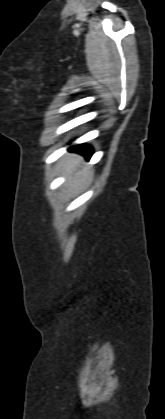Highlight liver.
<instances>
[{"mask_svg": "<svg viewBox=\"0 0 165 419\" xmlns=\"http://www.w3.org/2000/svg\"><path fill=\"white\" fill-rule=\"evenodd\" d=\"M65 173H73L68 180L70 187L79 186L84 179L90 174L88 169L76 170V167L80 164V157L74 154H67L63 160Z\"/></svg>", "mask_w": 165, "mask_h": 419, "instance_id": "6515ba94", "label": "liver"}]
</instances>
